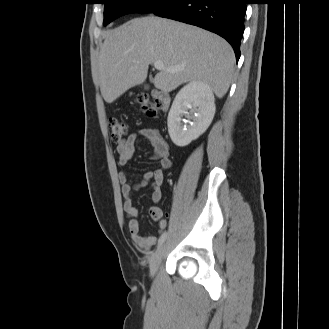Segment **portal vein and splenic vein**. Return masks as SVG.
<instances>
[{"label": "portal vein and splenic vein", "mask_w": 329, "mask_h": 329, "mask_svg": "<svg viewBox=\"0 0 329 329\" xmlns=\"http://www.w3.org/2000/svg\"><path fill=\"white\" fill-rule=\"evenodd\" d=\"M154 67L157 69V70H165V66L163 64L162 61H155L154 62ZM167 71L169 72H176L178 71L176 68L175 69H167Z\"/></svg>", "instance_id": "portal-vein-and-splenic-vein-1"}]
</instances>
